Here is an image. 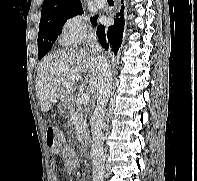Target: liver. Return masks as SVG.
<instances>
[{
    "label": "liver",
    "instance_id": "1",
    "mask_svg": "<svg viewBox=\"0 0 197 181\" xmlns=\"http://www.w3.org/2000/svg\"><path fill=\"white\" fill-rule=\"evenodd\" d=\"M77 74H86L88 90L97 93L99 71L91 51L66 49L46 56L39 63L35 89L43 112L49 111L58 100L70 97L76 90V83L66 78ZM57 78L63 81L57 82Z\"/></svg>",
    "mask_w": 197,
    "mask_h": 181
}]
</instances>
